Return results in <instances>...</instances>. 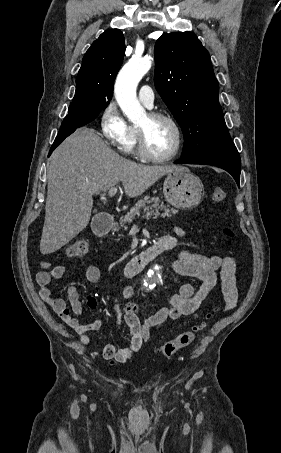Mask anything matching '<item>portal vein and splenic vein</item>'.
<instances>
[{"instance_id":"portal-vein-and-splenic-vein-1","label":"portal vein and splenic vein","mask_w":281,"mask_h":453,"mask_svg":"<svg viewBox=\"0 0 281 453\" xmlns=\"http://www.w3.org/2000/svg\"><path fill=\"white\" fill-rule=\"evenodd\" d=\"M118 188H116V186H111L110 190H108V194L109 196H114V194H116Z\"/></svg>"}]
</instances>
